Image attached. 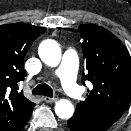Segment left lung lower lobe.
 <instances>
[{
    "label": "left lung lower lobe",
    "mask_w": 131,
    "mask_h": 131,
    "mask_svg": "<svg viewBox=\"0 0 131 131\" xmlns=\"http://www.w3.org/2000/svg\"><path fill=\"white\" fill-rule=\"evenodd\" d=\"M71 131H101L94 127V125L87 119L77 114H74L67 122Z\"/></svg>",
    "instance_id": "obj_1"
}]
</instances>
